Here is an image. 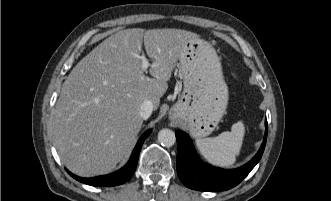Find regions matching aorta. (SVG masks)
I'll return each instance as SVG.
<instances>
[{"label": "aorta", "mask_w": 331, "mask_h": 201, "mask_svg": "<svg viewBox=\"0 0 331 201\" xmlns=\"http://www.w3.org/2000/svg\"><path fill=\"white\" fill-rule=\"evenodd\" d=\"M158 141L162 146L171 147L176 142L175 133L170 129H162L158 133Z\"/></svg>", "instance_id": "1"}]
</instances>
